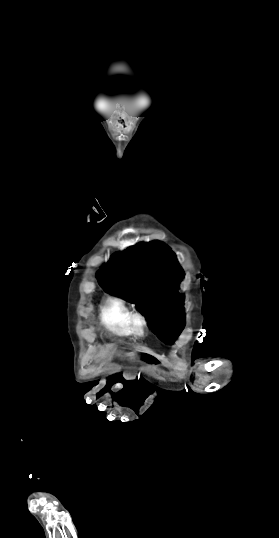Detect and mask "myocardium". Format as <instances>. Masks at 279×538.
Listing matches in <instances>:
<instances>
[{
	"mask_svg": "<svg viewBox=\"0 0 279 538\" xmlns=\"http://www.w3.org/2000/svg\"><path fill=\"white\" fill-rule=\"evenodd\" d=\"M131 334L137 337H142L147 331V321L145 317L139 313L132 314L130 318Z\"/></svg>",
	"mask_w": 279,
	"mask_h": 538,
	"instance_id": "obj_1",
	"label": "myocardium"
}]
</instances>
